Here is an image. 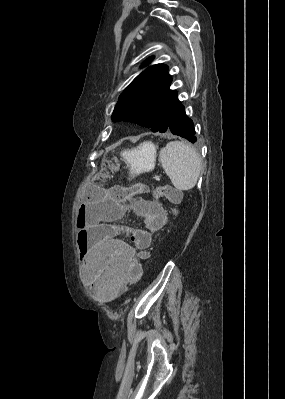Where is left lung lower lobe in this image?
<instances>
[{
	"label": "left lung lower lobe",
	"instance_id": "1",
	"mask_svg": "<svg viewBox=\"0 0 285 399\" xmlns=\"http://www.w3.org/2000/svg\"><path fill=\"white\" fill-rule=\"evenodd\" d=\"M166 131L186 138L192 143L197 141L194 135V124L192 120L185 114V109L181 102L173 113Z\"/></svg>",
	"mask_w": 285,
	"mask_h": 399
}]
</instances>
